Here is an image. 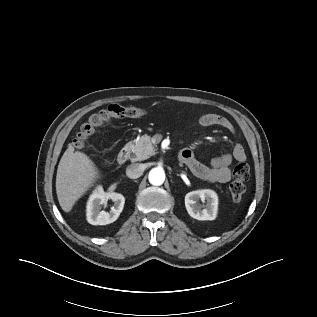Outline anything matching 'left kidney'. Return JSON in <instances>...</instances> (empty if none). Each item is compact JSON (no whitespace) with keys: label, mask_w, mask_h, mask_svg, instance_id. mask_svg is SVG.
<instances>
[{"label":"left kidney","mask_w":317,"mask_h":317,"mask_svg":"<svg viewBox=\"0 0 317 317\" xmlns=\"http://www.w3.org/2000/svg\"><path fill=\"white\" fill-rule=\"evenodd\" d=\"M206 202L205 205L199 203ZM218 197L210 190H197L186 194L185 207L188 214L197 220H214L217 215Z\"/></svg>","instance_id":"1"}]
</instances>
